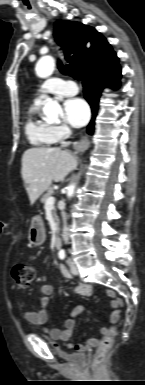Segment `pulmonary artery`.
I'll use <instances>...</instances> for the list:
<instances>
[{
    "mask_svg": "<svg viewBox=\"0 0 145 385\" xmlns=\"http://www.w3.org/2000/svg\"><path fill=\"white\" fill-rule=\"evenodd\" d=\"M40 91L57 96H72L78 92V87L73 81H66L60 78H51L41 86ZM36 102L40 103L41 98L38 97Z\"/></svg>",
    "mask_w": 145,
    "mask_h": 385,
    "instance_id": "pulmonary-artery-1",
    "label": "pulmonary artery"
}]
</instances>
